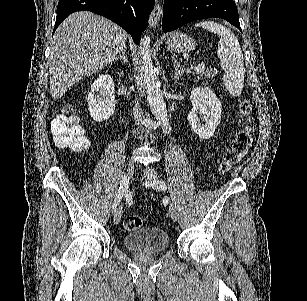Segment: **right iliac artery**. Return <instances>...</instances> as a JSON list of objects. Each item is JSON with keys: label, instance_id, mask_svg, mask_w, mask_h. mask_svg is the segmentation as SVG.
I'll return each instance as SVG.
<instances>
[{"label": "right iliac artery", "instance_id": "1", "mask_svg": "<svg viewBox=\"0 0 307 301\" xmlns=\"http://www.w3.org/2000/svg\"><path fill=\"white\" fill-rule=\"evenodd\" d=\"M120 186H121V183H120ZM124 194H125L124 193V187H122V190H120V187H119V190H118L116 197H115V200L113 202V206H112L113 211H116V208L119 205V203H120Z\"/></svg>", "mask_w": 307, "mask_h": 301}]
</instances>
